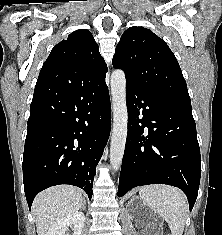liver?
Returning a JSON list of instances; mask_svg holds the SVG:
<instances>
[{"label":"liver","mask_w":222,"mask_h":235,"mask_svg":"<svg viewBox=\"0 0 222 235\" xmlns=\"http://www.w3.org/2000/svg\"><path fill=\"white\" fill-rule=\"evenodd\" d=\"M82 202L80 190L73 186H54L39 193L32 205L38 235H47L58 220L78 212Z\"/></svg>","instance_id":"liver-1"}]
</instances>
